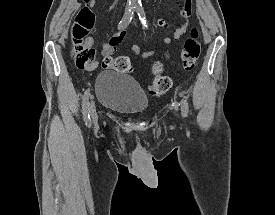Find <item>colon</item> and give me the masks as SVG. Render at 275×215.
<instances>
[{
  "mask_svg": "<svg viewBox=\"0 0 275 215\" xmlns=\"http://www.w3.org/2000/svg\"><path fill=\"white\" fill-rule=\"evenodd\" d=\"M84 5L79 10L75 22L71 28V36L69 42V48L73 59L77 66L86 67L89 65L95 56V50L92 45L88 43L89 31L94 26V14L90 9L91 0H83ZM200 41L199 33L196 29L191 31L190 37H188L180 53L181 64L184 71H191L196 61L200 56ZM104 68H113L120 73H130L132 71V64L128 57L117 56L112 57L110 55L105 56L102 61ZM153 72L156 75L154 80L150 83V92L154 96L165 94L172 85L170 77L163 75L162 66L155 64Z\"/></svg>",
  "mask_w": 275,
  "mask_h": 215,
  "instance_id": "obj_1",
  "label": "colon"
}]
</instances>
